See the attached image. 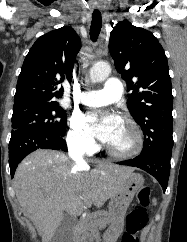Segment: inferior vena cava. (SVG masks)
<instances>
[{"label":"inferior vena cava","instance_id":"602c4592","mask_svg":"<svg viewBox=\"0 0 187 242\" xmlns=\"http://www.w3.org/2000/svg\"><path fill=\"white\" fill-rule=\"evenodd\" d=\"M84 152L80 147H73L69 150V156L78 166L86 165L85 160L83 159Z\"/></svg>","mask_w":187,"mask_h":242}]
</instances>
